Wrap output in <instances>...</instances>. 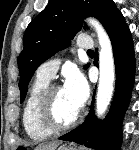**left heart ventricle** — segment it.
<instances>
[{
    "mask_svg": "<svg viewBox=\"0 0 139 150\" xmlns=\"http://www.w3.org/2000/svg\"><path fill=\"white\" fill-rule=\"evenodd\" d=\"M80 107L70 98L66 91L61 88L53 96L52 115L60 124L69 123L79 112Z\"/></svg>",
    "mask_w": 139,
    "mask_h": 150,
    "instance_id": "obj_1",
    "label": "left heart ventricle"
}]
</instances>
